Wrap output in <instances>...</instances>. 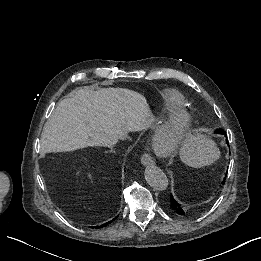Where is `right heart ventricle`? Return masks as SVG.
Returning a JSON list of instances; mask_svg holds the SVG:
<instances>
[{"label":"right heart ventricle","mask_w":261,"mask_h":261,"mask_svg":"<svg viewBox=\"0 0 261 261\" xmlns=\"http://www.w3.org/2000/svg\"><path fill=\"white\" fill-rule=\"evenodd\" d=\"M142 92H144L151 101L152 116L173 109L186 108V98L177 89L158 88V89H152V90H147Z\"/></svg>","instance_id":"right-heart-ventricle-1"}]
</instances>
